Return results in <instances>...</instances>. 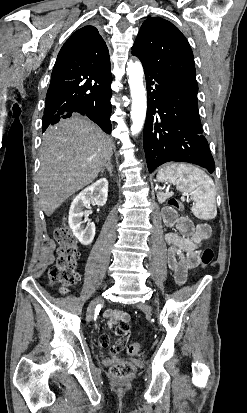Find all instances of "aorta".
Here are the masks:
<instances>
[{
    "label": "aorta",
    "mask_w": 247,
    "mask_h": 413,
    "mask_svg": "<svg viewBox=\"0 0 247 413\" xmlns=\"http://www.w3.org/2000/svg\"><path fill=\"white\" fill-rule=\"evenodd\" d=\"M127 75L132 98L131 106V133L137 135L144 125L147 111L146 89L143 84L144 71L140 61L127 63Z\"/></svg>",
    "instance_id": "762f6f07"
}]
</instances>
